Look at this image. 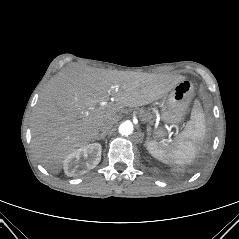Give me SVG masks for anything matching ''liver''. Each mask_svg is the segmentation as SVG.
Segmentation results:
<instances>
[{"mask_svg": "<svg viewBox=\"0 0 239 239\" xmlns=\"http://www.w3.org/2000/svg\"><path fill=\"white\" fill-rule=\"evenodd\" d=\"M183 76L67 68L48 84L35 106L32 147L40 163L59 174L67 155L97 139L102 123L118 120L124 107L150 104Z\"/></svg>", "mask_w": 239, "mask_h": 239, "instance_id": "liver-1", "label": "liver"}]
</instances>
